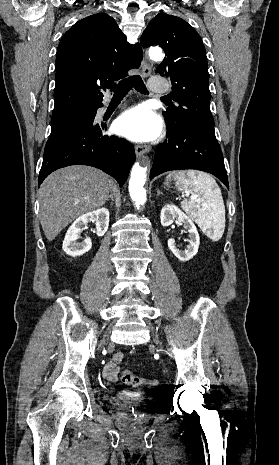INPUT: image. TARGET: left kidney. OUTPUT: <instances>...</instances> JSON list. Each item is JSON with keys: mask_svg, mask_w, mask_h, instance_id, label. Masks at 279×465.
Returning <instances> with one entry per match:
<instances>
[{"mask_svg": "<svg viewBox=\"0 0 279 465\" xmlns=\"http://www.w3.org/2000/svg\"><path fill=\"white\" fill-rule=\"evenodd\" d=\"M161 224L166 227L171 225L174 221L179 225H183V227L189 233V245L185 250H180L176 244L174 239L168 240V247L172 251V253L182 262L188 261L193 258L199 248L200 244V237L197 231V228L191 218H189L186 214H184L177 206L173 204H168L164 206L161 210Z\"/></svg>", "mask_w": 279, "mask_h": 465, "instance_id": "5707ae66", "label": "left kidney"}]
</instances>
